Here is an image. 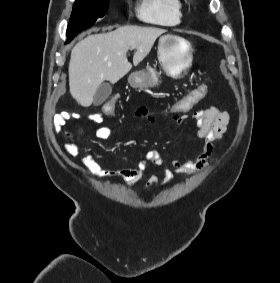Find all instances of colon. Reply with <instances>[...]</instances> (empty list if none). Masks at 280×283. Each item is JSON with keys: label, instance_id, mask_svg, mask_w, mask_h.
<instances>
[{"label": "colon", "instance_id": "obj_1", "mask_svg": "<svg viewBox=\"0 0 280 283\" xmlns=\"http://www.w3.org/2000/svg\"><path fill=\"white\" fill-rule=\"evenodd\" d=\"M209 84L202 82L196 84V87H192V90L187 91V94H182V97L174 100V103L165 104L162 107V112H167L168 116H178L179 112H193L196 105H200L203 102L206 95H210ZM115 99L119 98L118 94L114 95ZM115 99H108L107 103H103L102 112L104 116H119L120 112L116 111V108L120 103H116ZM67 113L60 114L56 123L63 127L68 119Z\"/></svg>", "mask_w": 280, "mask_h": 283}]
</instances>
